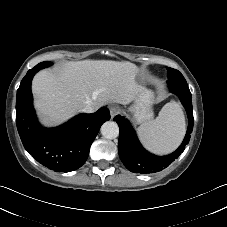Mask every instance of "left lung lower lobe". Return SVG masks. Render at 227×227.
Instances as JSON below:
<instances>
[{
  "instance_id": "0a47b994",
  "label": "left lung lower lobe",
  "mask_w": 227,
  "mask_h": 227,
  "mask_svg": "<svg viewBox=\"0 0 227 227\" xmlns=\"http://www.w3.org/2000/svg\"><path fill=\"white\" fill-rule=\"evenodd\" d=\"M169 90L176 94L188 115V129L185 138L180 147L170 155L156 156L146 151L139 143L138 138L127 119L117 115L114 120L118 123L120 134L118 141V152L121 161L125 167L134 173H155L168 167L185 149L186 144L190 140V134L193 130V108L191 92L186 80L167 81Z\"/></svg>"
}]
</instances>
